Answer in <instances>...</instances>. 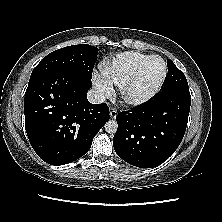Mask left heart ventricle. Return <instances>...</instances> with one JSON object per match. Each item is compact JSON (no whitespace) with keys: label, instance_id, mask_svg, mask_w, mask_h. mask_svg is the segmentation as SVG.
<instances>
[{"label":"left heart ventricle","instance_id":"left-heart-ventricle-1","mask_svg":"<svg viewBox=\"0 0 222 222\" xmlns=\"http://www.w3.org/2000/svg\"><path fill=\"white\" fill-rule=\"evenodd\" d=\"M164 70L160 59H153L145 68L142 77L133 89L134 95H143L149 92L160 80Z\"/></svg>","mask_w":222,"mask_h":222}]
</instances>
